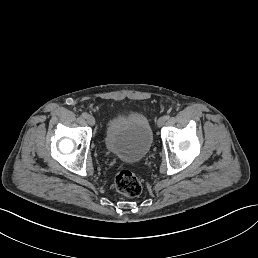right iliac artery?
Here are the masks:
<instances>
[{
    "label": "right iliac artery",
    "mask_w": 258,
    "mask_h": 258,
    "mask_svg": "<svg viewBox=\"0 0 258 258\" xmlns=\"http://www.w3.org/2000/svg\"><path fill=\"white\" fill-rule=\"evenodd\" d=\"M82 117L87 118L88 117L87 113H82Z\"/></svg>",
    "instance_id": "right-iliac-artery-1"
}]
</instances>
